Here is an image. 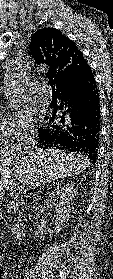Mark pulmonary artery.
<instances>
[{"label":"pulmonary artery","instance_id":"obj_1","mask_svg":"<svg viewBox=\"0 0 113 279\" xmlns=\"http://www.w3.org/2000/svg\"><path fill=\"white\" fill-rule=\"evenodd\" d=\"M37 92L43 97L45 102H49L51 100V91L46 84L39 85L37 87Z\"/></svg>","mask_w":113,"mask_h":279}]
</instances>
